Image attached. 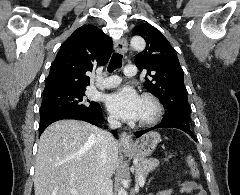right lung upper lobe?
I'll return each instance as SVG.
<instances>
[{"mask_svg": "<svg viewBox=\"0 0 240 195\" xmlns=\"http://www.w3.org/2000/svg\"><path fill=\"white\" fill-rule=\"evenodd\" d=\"M112 39L93 25H84L62 44L51 66L43 95L85 88L86 72L94 64L106 63L112 53Z\"/></svg>", "mask_w": 240, "mask_h": 195, "instance_id": "obj_1", "label": "right lung upper lobe"}]
</instances>
